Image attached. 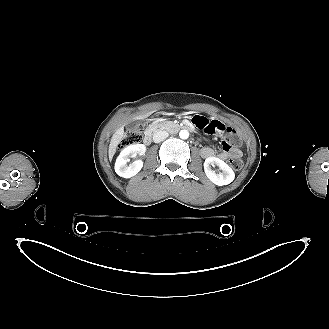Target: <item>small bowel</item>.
I'll list each match as a JSON object with an SVG mask.
<instances>
[{
    "instance_id": "obj_1",
    "label": "small bowel",
    "mask_w": 329,
    "mask_h": 329,
    "mask_svg": "<svg viewBox=\"0 0 329 329\" xmlns=\"http://www.w3.org/2000/svg\"><path fill=\"white\" fill-rule=\"evenodd\" d=\"M192 125L194 128L202 131L206 136H217L221 133V136L226 138L231 132L226 121L217 118L210 120V118L201 114L193 117ZM202 155L205 158H213L215 156V151L212 147L207 146L202 149ZM241 155L242 153L238 149H223L219 153L218 158L226 160L228 157H240Z\"/></svg>"
}]
</instances>
